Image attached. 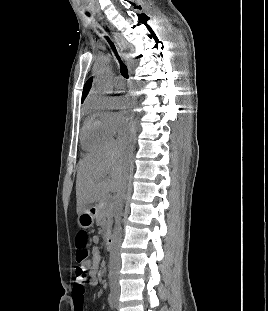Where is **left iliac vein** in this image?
<instances>
[{
  "mask_svg": "<svg viewBox=\"0 0 268 311\" xmlns=\"http://www.w3.org/2000/svg\"><path fill=\"white\" fill-rule=\"evenodd\" d=\"M115 306H116V308H117V300H116V302H115Z\"/></svg>",
  "mask_w": 268,
  "mask_h": 311,
  "instance_id": "1",
  "label": "left iliac vein"
}]
</instances>
